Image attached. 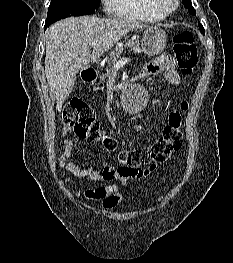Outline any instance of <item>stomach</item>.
<instances>
[{
  "mask_svg": "<svg viewBox=\"0 0 233 263\" xmlns=\"http://www.w3.org/2000/svg\"><path fill=\"white\" fill-rule=\"evenodd\" d=\"M166 32L159 27H149L144 31L141 40L142 51L148 56L161 53L166 45Z\"/></svg>",
  "mask_w": 233,
  "mask_h": 263,
  "instance_id": "0dacf381",
  "label": "stomach"
}]
</instances>
